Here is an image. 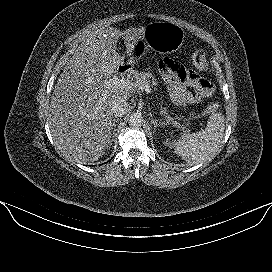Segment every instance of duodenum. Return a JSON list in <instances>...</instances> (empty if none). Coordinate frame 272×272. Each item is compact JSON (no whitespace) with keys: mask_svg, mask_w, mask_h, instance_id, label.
Segmentation results:
<instances>
[{"mask_svg":"<svg viewBox=\"0 0 272 272\" xmlns=\"http://www.w3.org/2000/svg\"><path fill=\"white\" fill-rule=\"evenodd\" d=\"M130 72V69L127 66H120L117 69L118 75H126Z\"/></svg>","mask_w":272,"mask_h":272,"instance_id":"obj_1","label":"duodenum"}]
</instances>
